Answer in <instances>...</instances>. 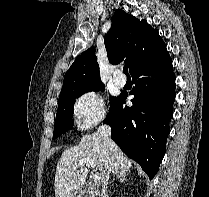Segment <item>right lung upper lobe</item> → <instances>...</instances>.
Instances as JSON below:
<instances>
[{"label": "right lung upper lobe", "mask_w": 209, "mask_h": 197, "mask_svg": "<svg viewBox=\"0 0 209 197\" xmlns=\"http://www.w3.org/2000/svg\"><path fill=\"white\" fill-rule=\"evenodd\" d=\"M104 42L110 63L124 61L131 74L166 50L157 30L145 20L139 21L122 10L115 11ZM96 83H101V80L95 49L92 47L78 56L66 72L62 90Z\"/></svg>", "instance_id": "right-lung-upper-lobe-1"}]
</instances>
